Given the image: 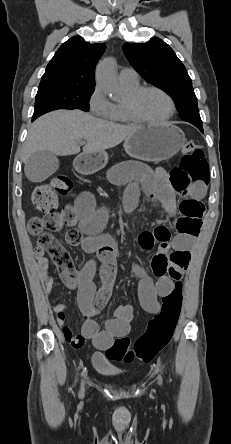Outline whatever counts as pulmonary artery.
Wrapping results in <instances>:
<instances>
[{
    "instance_id": "obj_1",
    "label": "pulmonary artery",
    "mask_w": 231,
    "mask_h": 444,
    "mask_svg": "<svg viewBox=\"0 0 231 444\" xmlns=\"http://www.w3.org/2000/svg\"><path fill=\"white\" fill-rule=\"evenodd\" d=\"M120 80L126 83H136L138 82V74L132 68H123L119 74Z\"/></svg>"
}]
</instances>
